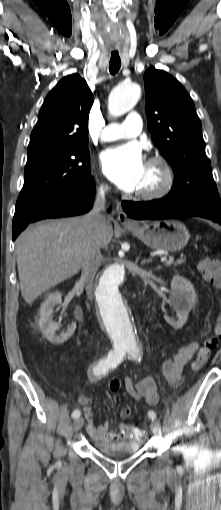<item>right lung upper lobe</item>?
<instances>
[{
    "instance_id": "obj_1",
    "label": "right lung upper lobe",
    "mask_w": 221,
    "mask_h": 510,
    "mask_svg": "<svg viewBox=\"0 0 221 510\" xmlns=\"http://www.w3.org/2000/svg\"><path fill=\"white\" fill-rule=\"evenodd\" d=\"M94 101L78 74L64 77L47 95L28 146V155L88 142V117Z\"/></svg>"
}]
</instances>
